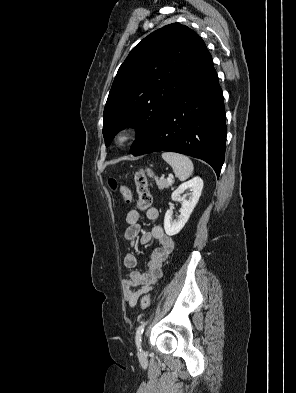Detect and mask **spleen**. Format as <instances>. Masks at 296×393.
I'll list each match as a JSON object with an SVG mask.
<instances>
[{
  "label": "spleen",
  "instance_id": "1",
  "mask_svg": "<svg viewBox=\"0 0 296 393\" xmlns=\"http://www.w3.org/2000/svg\"><path fill=\"white\" fill-rule=\"evenodd\" d=\"M162 158L172 167L175 176L181 181H185L192 175L194 166L187 156L173 152H164L162 153Z\"/></svg>",
  "mask_w": 296,
  "mask_h": 393
}]
</instances>
